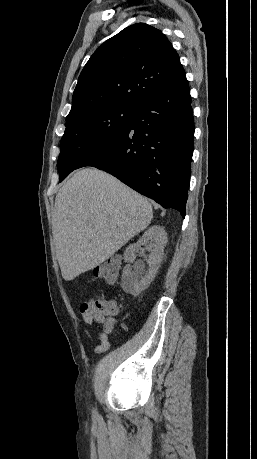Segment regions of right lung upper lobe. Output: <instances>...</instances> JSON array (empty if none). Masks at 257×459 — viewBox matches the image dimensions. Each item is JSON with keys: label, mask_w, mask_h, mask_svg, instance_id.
<instances>
[{"label": "right lung upper lobe", "mask_w": 257, "mask_h": 459, "mask_svg": "<svg viewBox=\"0 0 257 459\" xmlns=\"http://www.w3.org/2000/svg\"><path fill=\"white\" fill-rule=\"evenodd\" d=\"M185 74L166 36L145 23L105 41L84 66L66 125L100 109L136 107Z\"/></svg>", "instance_id": "right-lung-upper-lobe-1"}]
</instances>
